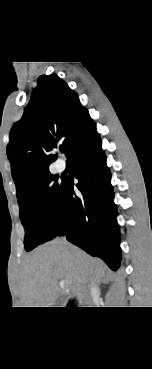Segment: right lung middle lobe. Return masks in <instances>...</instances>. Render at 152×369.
<instances>
[{
    "mask_svg": "<svg viewBox=\"0 0 152 369\" xmlns=\"http://www.w3.org/2000/svg\"><path fill=\"white\" fill-rule=\"evenodd\" d=\"M48 173L18 198L20 219L25 229V250L52 239L59 222L58 205L64 182Z\"/></svg>",
    "mask_w": 152,
    "mask_h": 369,
    "instance_id": "obj_1",
    "label": "right lung middle lobe"
}]
</instances>
